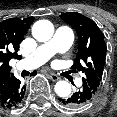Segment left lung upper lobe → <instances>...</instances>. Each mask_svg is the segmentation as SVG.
I'll use <instances>...</instances> for the list:
<instances>
[{"label":"left lung upper lobe","mask_w":117,"mask_h":117,"mask_svg":"<svg viewBox=\"0 0 117 117\" xmlns=\"http://www.w3.org/2000/svg\"><path fill=\"white\" fill-rule=\"evenodd\" d=\"M61 19L71 25L78 35V54L73 69L85 74L83 84L90 87L94 94L99 89L106 59L104 34L96 23L77 12L60 15Z\"/></svg>","instance_id":"1"}]
</instances>
